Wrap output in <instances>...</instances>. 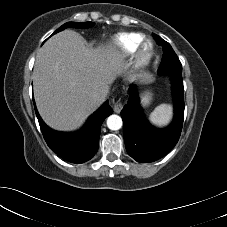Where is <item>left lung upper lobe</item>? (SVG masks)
I'll return each mask as SVG.
<instances>
[{"label": "left lung upper lobe", "instance_id": "obj_1", "mask_svg": "<svg viewBox=\"0 0 227 227\" xmlns=\"http://www.w3.org/2000/svg\"><path fill=\"white\" fill-rule=\"evenodd\" d=\"M157 43L163 47V57L162 62L159 66V72L164 71H173L177 73H182V65L181 62L172 49L171 45L163 40L160 36L153 34Z\"/></svg>", "mask_w": 227, "mask_h": 227}]
</instances>
